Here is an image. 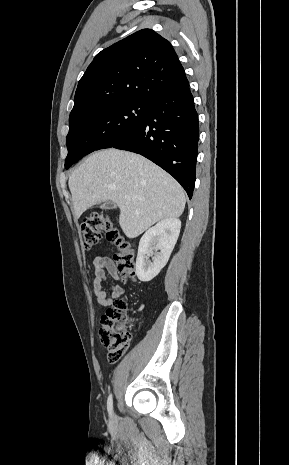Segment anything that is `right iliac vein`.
Returning <instances> with one entry per match:
<instances>
[{
	"instance_id": "63e3f726",
	"label": "right iliac vein",
	"mask_w": 289,
	"mask_h": 465,
	"mask_svg": "<svg viewBox=\"0 0 289 465\" xmlns=\"http://www.w3.org/2000/svg\"><path fill=\"white\" fill-rule=\"evenodd\" d=\"M111 419H112V421H113V419H114V416H112V417H111Z\"/></svg>"
}]
</instances>
